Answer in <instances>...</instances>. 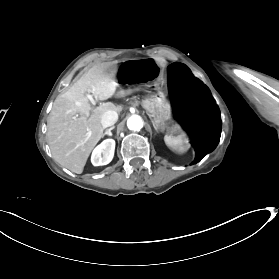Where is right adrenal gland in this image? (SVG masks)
I'll return each mask as SVG.
<instances>
[{"instance_id":"2a0ac1e0","label":"right adrenal gland","mask_w":279,"mask_h":279,"mask_svg":"<svg viewBox=\"0 0 279 279\" xmlns=\"http://www.w3.org/2000/svg\"><path fill=\"white\" fill-rule=\"evenodd\" d=\"M114 128H115V126H112V127L108 128V129H106V131H105V133H103L102 137H104L105 135L112 136L111 130H113Z\"/></svg>"}]
</instances>
